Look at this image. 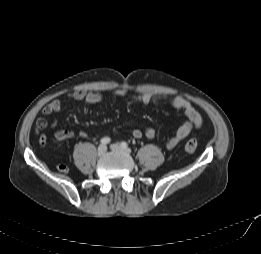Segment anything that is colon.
I'll return each instance as SVG.
<instances>
[{
  "mask_svg": "<svg viewBox=\"0 0 261 254\" xmlns=\"http://www.w3.org/2000/svg\"><path fill=\"white\" fill-rule=\"evenodd\" d=\"M197 140L194 138L189 139L186 143H185V151L189 154H192L195 152L196 148H197ZM57 169L62 172V173H66L68 171V168L66 165L64 164H58L57 165Z\"/></svg>",
  "mask_w": 261,
  "mask_h": 254,
  "instance_id": "obj_1",
  "label": "colon"
}]
</instances>
